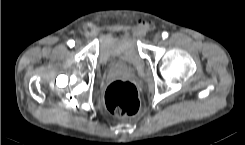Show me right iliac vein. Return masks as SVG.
<instances>
[{
	"label": "right iliac vein",
	"mask_w": 245,
	"mask_h": 145,
	"mask_svg": "<svg viewBox=\"0 0 245 145\" xmlns=\"http://www.w3.org/2000/svg\"><path fill=\"white\" fill-rule=\"evenodd\" d=\"M81 45V40L80 39H76L75 40V47L78 48Z\"/></svg>",
	"instance_id": "obj_1"
}]
</instances>
